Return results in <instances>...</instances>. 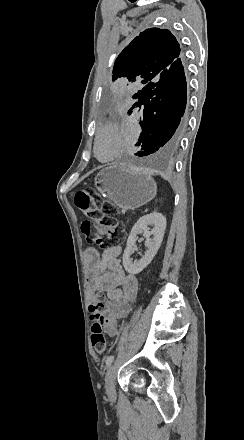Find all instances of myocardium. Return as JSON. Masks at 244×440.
Returning <instances> with one entry per match:
<instances>
[{
  "instance_id": "1",
  "label": "myocardium",
  "mask_w": 244,
  "mask_h": 440,
  "mask_svg": "<svg viewBox=\"0 0 244 440\" xmlns=\"http://www.w3.org/2000/svg\"><path fill=\"white\" fill-rule=\"evenodd\" d=\"M103 134H108L110 138L107 148V154L105 156H101L99 151V139ZM116 144H117V134L112 128L104 127L98 130L94 135V142H93V153L95 158L101 163H109L113 161L116 157Z\"/></svg>"
}]
</instances>
